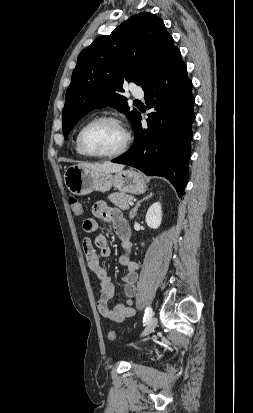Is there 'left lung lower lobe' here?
Wrapping results in <instances>:
<instances>
[{
	"mask_svg": "<svg viewBox=\"0 0 253 413\" xmlns=\"http://www.w3.org/2000/svg\"><path fill=\"white\" fill-rule=\"evenodd\" d=\"M191 88L186 64L177 48L159 75L143 89L147 106L154 108L148 114V129H142L139 114L132 147L112 160L147 176L165 177L179 197L186 187L191 156V125L195 119Z\"/></svg>",
	"mask_w": 253,
	"mask_h": 413,
	"instance_id": "obj_1",
	"label": "left lung lower lobe"
}]
</instances>
